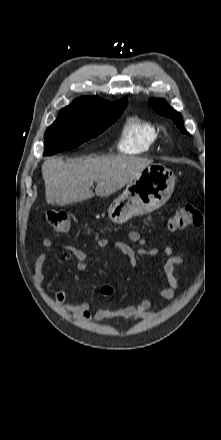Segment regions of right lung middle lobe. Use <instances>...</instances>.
<instances>
[{
    "label": "right lung middle lobe",
    "mask_w": 221,
    "mask_h": 440,
    "mask_svg": "<svg viewBox=\"0 0 221 440\" xmlns=\"http://www.w3.org/2000/svg\"><path fill=\"white\" fill-rule=\"evenodd\" d=\"M125 108L62 109L56 121L45 132L46 148L43 155L76 148L98 136L120 117Z\"/></svg>",
    "instance_id": "1"
}]
</instances>
